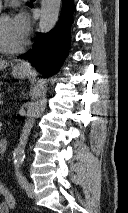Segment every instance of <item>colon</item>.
I'll list each match as a JSON object with an SVG mask.
<instances>
[{
  "label": "colon",
  "mask_w": 128,
  "mask_h": 213,
  "mask_svg": "<svg viewBox=\"0 0 128 213\" xmlns=\"http://www.w3.org/2000/svg\"><path fill=\"white\" fill-rule=\"evenodd\" d=\"M0 196L4 199V203L6 206L13 210L16 208V201L12 193L10 192L9 188L0 182Z\"/></svg>",
  "instance_id": "5ec220e1"
}]
</instances>
